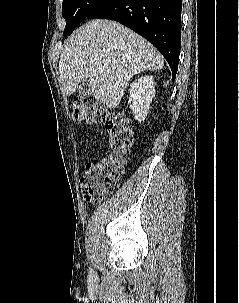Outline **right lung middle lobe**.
I'll return each instance as SVG.
<instances>
[{
	"mask_svg": "<svg viewBox=\"0 0 239 303\" xmlns=\"http://www.w3.org/2000/svg\"><path fill=\"white\" fill-rule=\"evenodd\" d=\"M106 0H63L62 16L66 20L64 37L67 38L78 24Z\"/></svg>",
	"mask_w": 239,
	"mask_h": 303,
	"instance_id": "obj_1",
	"label": "right lung middle lobe"
}]
</instances>
